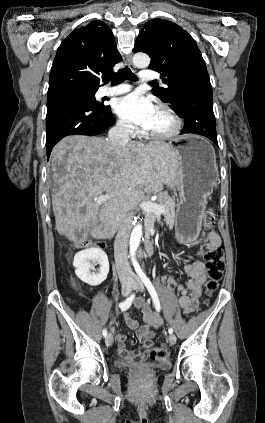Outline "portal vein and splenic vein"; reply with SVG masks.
<instances>
[{"label":"portal vein and splenic vein","mask_w":265,"mask_h":423,"mask_svg":"<svg viewBox=\"0 0 265 423\" xmlns=\"http://www.w3.org/2000/svg\"><path fill=\"white\" fill-rule=\"evenodd\" d=\"M109 196H100L96 197L94 200L97 204L101 205ZM143 211L147 213H154L156 216L160 217L161 214L165 212V208L156 202L152 201H143L139 205Z\"/></svg>","instance_id":"18ae733b"}]
</instances>
